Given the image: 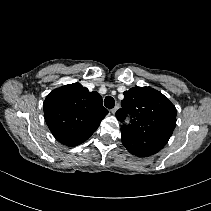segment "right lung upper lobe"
Segmentation results:
<instances>
[{"instance_id":"obj_1","label":"right lung upper lobe","mask_w":211,"mask_h":211,"mask_svg":"<svg viewBox=\"0 0 211 211\" xmlns=\"http://www.w3.org/2000/svg\"><path fill=\"white\" fill-rule=\"evenodd\" d=\"M44 118L53 136L73 147L86 141L108 114L102 97L73 83L51 91L43 104Z\"/></svg>"}]
</instances>
